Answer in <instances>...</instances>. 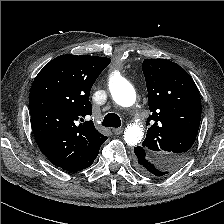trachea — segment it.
I'll use <instances>...</instances> for the list:
<instances>
[{"mask_svg": "<svg viewBox=\"0 0 224 224\" xmlns=\"http://www.w3.org/2000/svg\"><path fill=\"white\" fill-rule=\"evenodd\" d=\"M102 125L105 127L118 128L121 126L120 117L115 113L107 114L103 119Z\"/></svg>", "mask_w": 224, "mask_h": 224, "instance_id": "obj_1", "label": "trachea"}]
</instances>
